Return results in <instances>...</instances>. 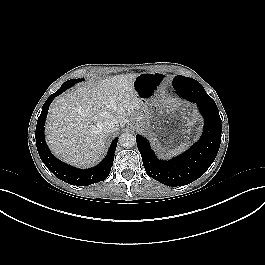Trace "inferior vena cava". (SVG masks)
Instances as JSON below:
<instances>
[{
	"instance_id": "inferior-vena-cava-1",
	"label": "inferior vena cava",
	"mask_w": 265,
	"mask_h": 265,
	"mask_svg": "<svg viewBox=\"0 0 265 265\" xmlns=\"http://www.w3.org/2000/svg\"><path fill=\"white\" fill-rule=\"evenodd\" d=\"M117 126V122L114 119H107L101 123V128L106 134L112 133L117 129Z\"/></svg>"
}]
</instances>
